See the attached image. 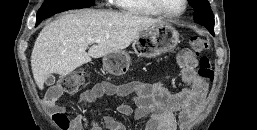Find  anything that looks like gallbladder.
I'll return each mask as SVG.
<instances>
[{"label":"gallbladder","mask_w":257,"mask_h":130,"mask_svg":"<svg viewBox=\"0 0 257 130\" xmlns=\"http://www.w3.org/2000/svg\"><path fill=\"white\" fill-rule=\"evenodd\" d=\"M55 83V77L53 75H50L47 77L46 81H45V84L47 86H51Z\"/></svg>","instance_id":"gallbladder-1"}]
</instances>
